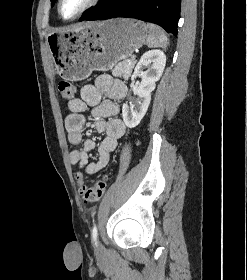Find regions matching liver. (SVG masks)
I'll return each instance as SVG.
<instances>
[{
	"instance_id": "obj_1",
	"label": "liver",
	"mask_w": 247,
	"mask_h": 280,
	"mask_svg": "<svg viewBox=\"0 0 247 280\" xmlns=\"http://www.w3.org/2000/svg\"><path fill=\"white\" fill-rule=\"evenodd\" d=\"M87 24H88V23L76 24V25H73V26L69 27V28L66 29V30H70V29H74V28L83 27L84 25H87Z\"/></svg>"
}]
</instances>
